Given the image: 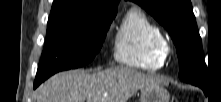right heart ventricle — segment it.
Instances as JSON below:
<instances>
[{"mask_svg": "<svg viewBox=\"0 0 221 102\" xmlns=\"http://www.w3.org/2000/svg\"><path fill=\"white\" fill-rule=\"evenodd\" d=\"M160 27L137 7L130 8L116 27L114 59L126 66L154 71L165 62L160 46L165 42Z\"/></svg>", "mask_w": 221, "mask_h": 102, "instance_id": "obj_1", "label": "right heart ventricle"}]
</instances>
